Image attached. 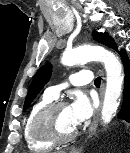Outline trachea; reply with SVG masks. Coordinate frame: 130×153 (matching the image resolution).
Listing matches in <instances>:
<instances>
[{"instance_id":"obj_1","label":"trachea","mask_w":130,"mask_h":153,"mask_svg":"<svg viewBox=\"0 0 130 153\" xmlns=\"http://www.w3.org/2000/svg\"><path fill=\"white\" fill-rule=\"evenodd\" d=\"M95 86H100V83H101V79L98 77L95 79Z\"/></svg>"}]
</instances>
